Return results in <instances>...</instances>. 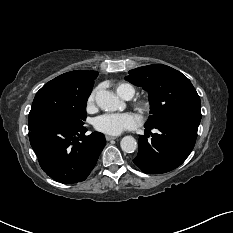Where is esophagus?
Segmentation results:
<instances>
[{"instance_id": "obj_1", "label": "esophagus", "mask_w": 233, "mask_h": 233, "mask_svg": "<svg viewBox=\"0 0 233 233\" xmlns=\"http://www.w3.org/2000/svg\"><path fill=\"white\" fill-rule=\"evenodd\" d=\"M115 139H117V137L106 135L107 141H111V140H115Z\"/></svg>"}]
</instances>
